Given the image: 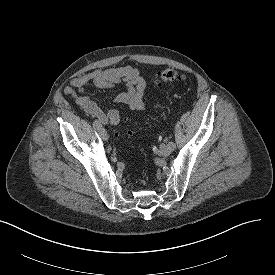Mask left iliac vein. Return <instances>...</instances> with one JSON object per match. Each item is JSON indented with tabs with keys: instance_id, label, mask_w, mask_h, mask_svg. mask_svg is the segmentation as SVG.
Instances as JSON below:
<instances>
[{
	"instance_id": "obj_1",
	"label": "left iliac vein",
	"mask_w": 275,
	"mask_h": 275,
	"mask_svg": "<svg viewBox=\"0 0 275 275\" xmlns=\"http://www.w3.org/2000/svg\"><path fill=\"white\" fill-rule=\"evenodd\" d=\"M172 152V148L167 145V144H162L160 146V153L163 155V156H168L170 155V153Z\"/></svg>"
}]
</instances>
